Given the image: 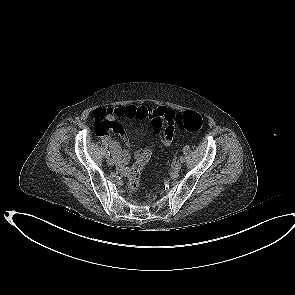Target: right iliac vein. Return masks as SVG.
<instances>
[{
  "mask_svg": "<svg viewBox=\"0 0 295 295\" xmlns=\"http://www.w3.org/2000/svg\"><path fill=\"white\" fill-rule=\"evenodd\" d=\"M107 163H108L109 165L113 166V165L115 164V161H114V159H112V158H108V159H107Z\"/></svg>",
  "mask_w": 295,
  "mask_h": 295,
  "instance_id": "63e3f726",
  "label": "right iliac vein"
}]
</instances>
